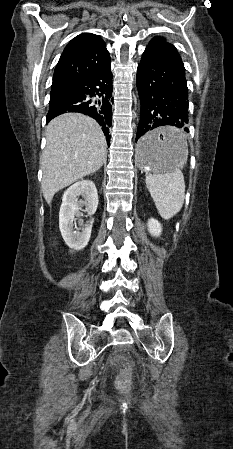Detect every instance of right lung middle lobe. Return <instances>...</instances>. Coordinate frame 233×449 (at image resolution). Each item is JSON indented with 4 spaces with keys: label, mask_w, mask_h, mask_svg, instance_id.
Listing matches in <instances>:
<instances>
[{
    "label": "right lung middle lobe",
    "mask_w": 233,
    "mask_h": 449,
    "mask_svg": "<svg viewBox=\"0 0 233 449\" xmlns=\"http://www.w3.org/2000/svg\"><path fill=\"white\" fill-rule=\"evenodd\" d=\"M73 95V92L70 88H61L51 90L50 94V103L58 102L62 99L68 98Z\"/></svg>",
    "instance_id": "right-lung-middle-lobe-1"
}]
</instances>
